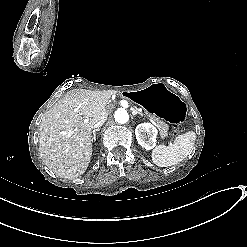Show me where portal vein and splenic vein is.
I'll use <instances>...</instances> for the list:
<instances>
[{
    "instance_id": "1",
    "label": "portal vein and splenic vein",
    "mask_w": 247,
    "mask_h": 247,
    "mask_svg": "<svg viewBox=\"0 0 247 247\" xmlns=\"http://www.w3.org/2000/svg\"><path fill=\"white\" fill-rule=\"evenodd\" d=\"M75 112H78L79 111V108H76L74 110ZM148 121L151 122L154 126H156L157 130H160V126L159 124L156 123V121L152 120L151 118H148ZM74 133V130H71V131H64V132H61V135H70V134H73ZM169 145H172V142H169Z\"/></svg>"
}]
</instances>
